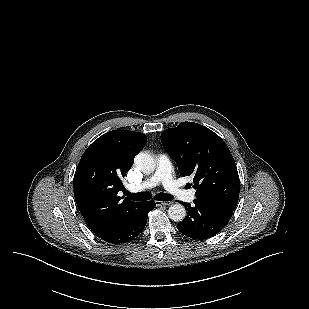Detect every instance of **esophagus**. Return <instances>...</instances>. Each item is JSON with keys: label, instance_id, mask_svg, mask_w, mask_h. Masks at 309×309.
<instances>
[{"label": "esophagus", "instance_id": "obj_1", "mask_svg": "<svg viewBox=\"0 0 309 309\" xmlns=\"http://www.w3.org/2000/svg\"><path fill=\"white\" fill-rule=\"evenodd\" d=\"M173 202H171V201H168V202H163V201H158V200H156L155 201V205L156 206H169V205H171Z\"/></svg>", "mask_w": 309, "mask_h": 309}]
</instances>
